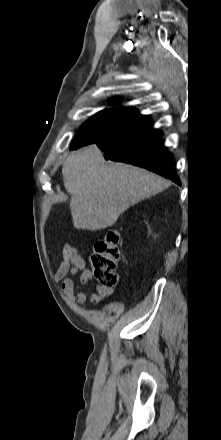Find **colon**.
<instances>
[{"mask_svg":"<svg viewBox=\"0 0 221 440\" xmlns=\"http://www.w3.org/2000/svg\"><path fill=\"white\" fill-rule=\"evenodd\" d=\"M121 236L119 231L110 230L97 241L90 255V265L100 286L113 288L117 283L116 269L121 258Z\"/></svg>","mask_w":221,"mask_h":440,"instance_id":"colon-1","label":"colon"}]
</instances>
